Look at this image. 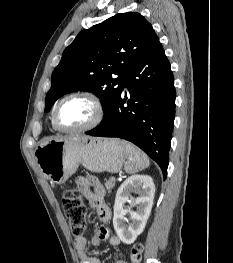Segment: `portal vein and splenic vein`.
I'll use <instances>...</instances> for the list:
<instances>
[{"mask_svg": "<svg viewBox=\"0 0 233 263\" xmlns=\"http://www.w3.org/2000/svg\"><path fill=\"white\" fill-rule=\"evenodd\" d=\"M111 179H112L113 181H115V180H116V179H115V177H112Z\"/></svg>", "mask_w": 233, "mask_h": 263, "instance_id": "portal-vein-and-splenic-vein-1", "label": "portal vein and splenic vein"}]
</instances>
